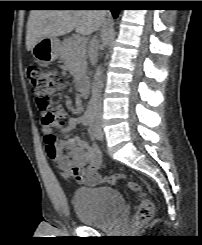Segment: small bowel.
Segmentation results:
<instances>
[{
  "label": "small bowel",
  "mask_w": 202,
  "mask_h": 245,
  "mask_svg": "<svg viewBox=\"0 0 202 245\" xmlns=\"http://www.w3.org/2000/svg\"><path fill=\"white\" fill-rule=\"evenodd\" d=\"M83 109L82 100L77 98L75 101V111ZM54 114L57 118H66V113L61 107H56ZM81 117L69 119L63 124L65 131L73 130L81 124ZM83 124V123H82ZM53 124H46L41 121L44 143L48 155L57 162L62 170L64 177L72 179L85 186H95L100 183L101 176V154L97 146L88 144L85 140L74 137L58 142L52 130ZM56 148L57 154L51 156V149ZM62 149H66L68 154H64Z\"/></svg>",
  "instance_id": "1"
}]
</instances>
